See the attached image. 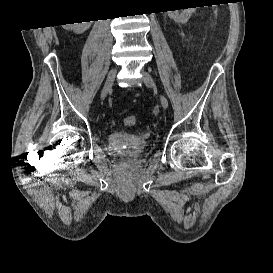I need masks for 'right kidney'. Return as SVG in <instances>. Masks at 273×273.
<instances>
[{
    "label": "right kidney",
    "mask_w": 273,
    "mask_h": 273,
    "mask_svg": "<svg viewBox=\"0 0 273 273\" xmlns=\"http://www.w3.org/2000/svg\"><path fill=\"white\" fill-rule=\"evenodd\" d=\"M92 21L90 22H82V23H75L76 25L79 24V26H74L72 27V30L76 33H82L84 31H86L90 25H91Z\"/></svg>",
    "instance_id": "right-kidney-1"
}]
</instances>
